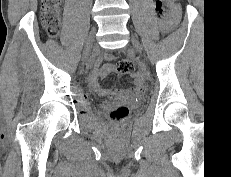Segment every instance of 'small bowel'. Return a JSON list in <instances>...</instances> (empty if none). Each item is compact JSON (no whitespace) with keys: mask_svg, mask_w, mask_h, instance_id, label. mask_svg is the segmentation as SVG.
<instances>
[{"mask_svg":"<svg viewBox=\"0 0 231 177\" xmlns=\"http://www.w3.org/2000/svg\"><path fill=\"white\" fill-rule=\"evenodd\" d=\"M163 21L161 22V26L165 31H168L171 29L172 25L174 24V20L173 19H169L166 20L162 19ZM105 59L106 60H113L114 56L112 54H106L105 55ZM117 71V66L114 64H107L106 66H104L103 68L100 67H95V69L92 71L91 75H90V84L91 87L93 88L94 91H96L97 93L101 94V95H111L114 93L113 89H109V88H103L100 85V80L101 78L109 72H114ZM136 81H138V79L136 78ZM142 89L141 85L137 84L136 87V91H140Z\"/></svg>","mask_w":231,"mask_h":177,"instance_id":"1","label":"small bowel"}]
</instances>
